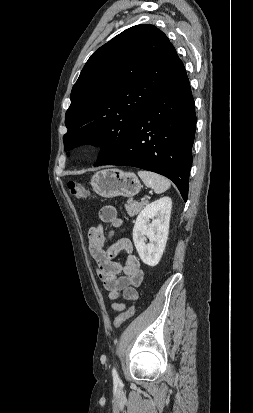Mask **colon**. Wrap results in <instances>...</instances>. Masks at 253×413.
<instances>
[{
  "instance_id": "1",
  "label": "colon",
  "mask_w": 253,
  "mask_h": 413,
  "mask_svg": "<svg viewBox=\"0 0 253 413\" xmlns=\"http://www.w3.org/2000/svg\"><path fill=\"white\" fill-rule=\"evenodd\" d=\"M67 186L71 195L77 199H84L89 195L87 188L77 181H69ZM134 312L135 306H131L126 311L120 313L114 320V327H120L125 321L134 315Z\"/></svg>"
}]
</instances>
